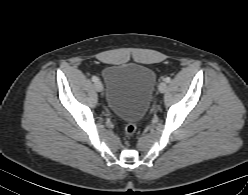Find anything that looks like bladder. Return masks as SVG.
<instances>
[{
	"instance_id": "obj_1",
	"label": "bladder",
	"mask_w": 248,
	"mask_h": 195,
	"mask_svg": "<svg viewBox=\"0 0 248 195\" xmlns=\"http://www.w3.org/2000/svg\"><path fill=\"white\" fill-rule=\"evenodd\" d=\"M108 107L120 118L137 122L146 113L154 90V71L137 63L111 64L103 71Z\"/></svg>"
}]
</instances>
